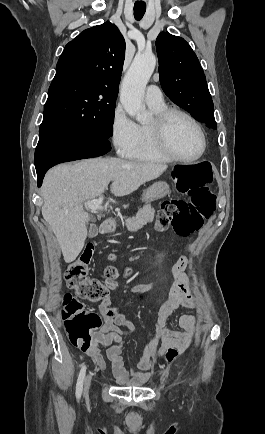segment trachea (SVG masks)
Listing matches in <instances>:
<instances>
[{"label": "trachea", "mask_w": 265, "mask_h": 434, "mask_svg": "<svg viewBox=\"0 0 265 434\" xmlns=\"http://www.w3.org/2000/svg\"><path fill=\"white\" fill-rule=\"evenodd\" d=\"M134 17L136 20H141L143 15L146 12V4L145 3H135L134 4Z\"/></svg>", "instance_id": "obj_1"}]
</instances>
